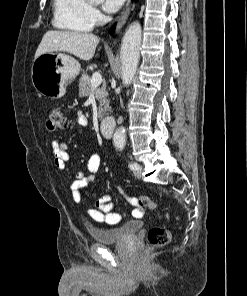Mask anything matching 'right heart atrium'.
Instances as JSON below:
<instances>
[{"label":"right heart atrium","mask_w":247,"mask_h":296,"mask_svg":"<svg viewBox=\"0 0 247 296\" xmlns=\"http://www.w3.org/2000/svg\"><path fill=\"white\" fill-rule=\"evenodd\" d=\"M88 16L92 24H98L102 21V14L100 11L93 5H89Z\"/></svg>","instance_id":"1"}]
</instances>
